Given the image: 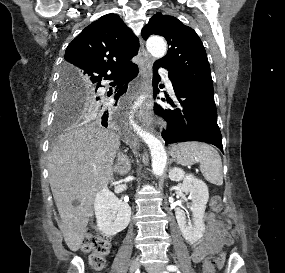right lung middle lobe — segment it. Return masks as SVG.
<instances>
[{
	"mask_svg": "<svg viewBox=\"0 0 285 273\" xmlns=\"http://www.w3.org/2000/svg\"><path fill=\"white\" fill-rule=\"evenodd\" d=\"M95 86L84 84L67 72H62L57 104V126L79 119L99 120L103 100Z\"/></svg>",
	"mask_w": 285,
	"mask_h": 273,
	"instance_id": "1",
	"label": "right lung middle lobe"
}]
</instances>
